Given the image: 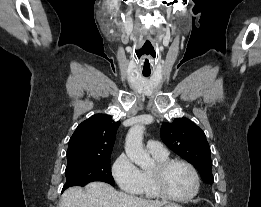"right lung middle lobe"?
<instances>
[{
  "mask_svg": "<svg viewBox=\"0 0 261 207\" xmlns=\"http://www.w3.org/2000/svg\"><path fill=\"white\" fill-rule=\"evenodd\" d=\"M66 183L62 192L71 186H85L93 181L115 184L110 169V157L68 162Z\"/></svg>",
  "mask_w": 261,
  "mask_h": 207,
  "instance_id": "dd1d6c3e",
  "label": "right lung middle lobe"
}]
</instances>
